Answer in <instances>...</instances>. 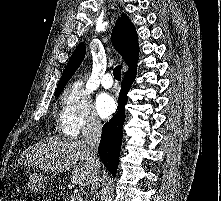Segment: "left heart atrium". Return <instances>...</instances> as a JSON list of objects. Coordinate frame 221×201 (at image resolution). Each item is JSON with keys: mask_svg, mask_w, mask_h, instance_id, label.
Masks as SVG:
<instances>
[{"mask_svg": "<svg viewBox=\"0 0 221 201\" xmlns=\"http://www.w3.org/2000/svg\"><path fill=\"white\" fill-rule=\"evenodd\" d=\"M117 107L115 98L108 93H101L96 99V109L102 118L112 115Z\"/></svg>", "mask_w": 221, "mask_h": 201, "instance_id": "left-heart-atrium-1", "label": "left heart atrium"}]
</instances>
